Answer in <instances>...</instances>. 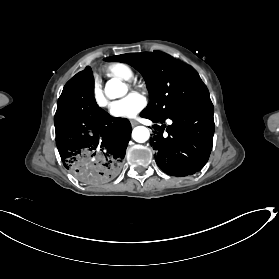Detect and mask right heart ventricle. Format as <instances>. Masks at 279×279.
<instances>
[{
    "label": "right heart ventricle",
    "instance_id": "1",
    "mask_svg": "<svg viewBox=\"0 0 279 279\" xmlns=\"http://www.w3.org/2000/svg\"><path fill=\"white\" fill-rule=\"evenodd\" d=\"M103 73L112 79L130 81L134 77L132 69L123 63H111L103 68Z\"/></svg>",
    "mask_w": 279,
    "mask_h": 279
}]
</instances>
